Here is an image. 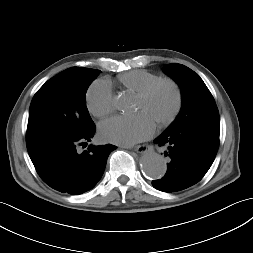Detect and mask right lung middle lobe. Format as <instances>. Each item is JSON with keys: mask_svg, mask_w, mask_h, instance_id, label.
<instances>
[{"mask_svg": "<svg viewBox=\"0 0 253 253\" xmlns=\"http://www.w3.org/2000/svg\"><path fill=\"white\" fill-rule=\"evenodd\" d=\"M101 71L72 67L48 80L34 95L26 133L30 158L95 127L86 107V91Z\"/></svg>", "mask_w": 253, "mask_h": 253, "instance_id": "dd1d6c3e", "label": "right lung middle lobe"}]
</instances>
